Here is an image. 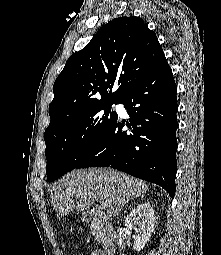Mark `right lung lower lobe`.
Instances as JSON below:
<instances>
[{
	"instance_id": "right-lung-lower-lobe-1",
	"label": "right lung lower lobe",
	"mask_w": 221,
	"mask_h": 255,
	"mask_svg": "<svg viewBox=\"0 0 221 255\" xmlns=\"http://www.w3.org/2000/svg\"><path fill=\"white\" fill-rule=\"evenodd\" d=\"M177 87L165 56L118 102L130 124L117 120L76 167H108L175 195ZM129 130H123L124 125Z\"/></svg>"
}]
</instances>
